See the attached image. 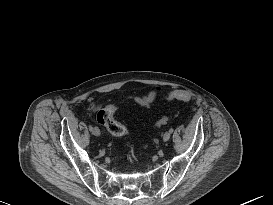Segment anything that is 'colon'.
<instances>
[{"label": "colon", "mask_w": 273, "mask_h": 205, "mask_svg": "<svg viewBox=\"0 0 273 205\" xmlns=\"http://www.w3.org/2000/svg\"><path fill=\"white\" fill-rule=\"evenodd\" d=\"M168 100H178L187 102L190 95L182 90H175L165 96ZM118 107L116 105H108L97 113V121L112 135L124 136L128 133L127 128L115 119V113ZM168 122V117H163L156 122L155 127H161Z\"/></svg>", "instance_id": "obj_1"}]
</instances>
